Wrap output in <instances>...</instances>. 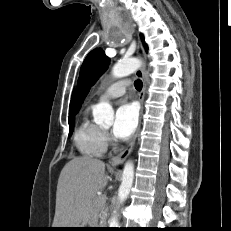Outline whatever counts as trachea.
<instances>
[{
	"mask_svg": "<svg viewBox=\"0 0 231 231\" xmlns=\"http://www.w3.org/2000/svg\"><path fill=\"white\" fill-rule=\"evenodd\" d=\"M142 86H143V84H142L141 80L135 81V88H136V90L141 91Z\"/></svg>",
	"mask_w": 231,
	"mask_h": 231,
	"instance_id": "trachea-1",
	"label": "trachea"
}]
</instances>
